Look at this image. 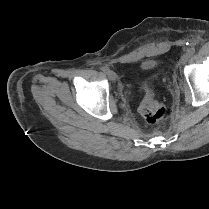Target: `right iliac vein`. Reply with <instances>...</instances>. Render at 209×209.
Returning a JSON list of instances; mask_svg holds the SVG:
<instances>
[{
  "instance_id": "right-iliac-vein-1",
  "label": "right iliac vein",
  "mask_w": 209,
  "mask_h": 209,
  "mask_svg": "<svg viewBox=\"0 0 209 209\" xmlns=\"http://www.w3.org/2000/svg\"><path fill=\"white\" fill-rule=\"evenodd\" d=\"M107 75H108V77H109V79L111 80V81H115L116 79H117V74L115 73V72H113V71H108L107 72Z\"/></svg>"
}]
</instances>
